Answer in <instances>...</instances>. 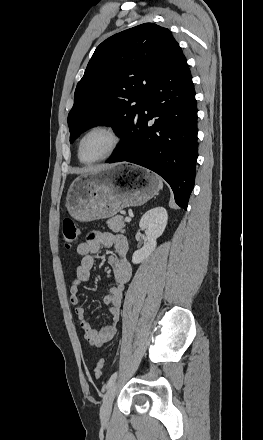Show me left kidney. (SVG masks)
<instances>
[{"label": "left kidney", "mask_w": 263, "mask_h": 440, "mask_svg": "<svg viewBox=\"0 0 263 440\" xmlns=\"http://www.w3.org/2000/svg\"><path fill=\"white\" fill-rule=\"evenodd\" d=\"M168 213L164 207H155L147 211L139 222V227L145 230L147 242L133 253V264H139L147 259L155 250L157 238L160 237L167 225Z\"/></svg>", "instance_id": "5707ae66"}]
</instances>
